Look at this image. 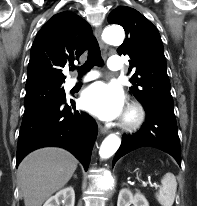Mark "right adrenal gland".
<instances>
[{
  "instance_id": "1",
  "label": "right adrenal gland",
  "mask_w": 197,
  "mask_h": 206,
  "mask_svg": "<svg viewBox=\"0 0 197 206\" xmlns=\"http://www.w3.org/2000/svg\"><path fill=\"white\" fill-rule=\"evenodd\" d=\"M73 178H76V179H77V175L75 174V175L73 176Z\"/></svg>"
}]
</instances>
